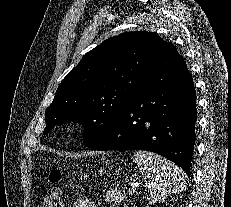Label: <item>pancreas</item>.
Returning a JSON list of instances; mask_svg holds the SVG:
<instances>
[{
    "label": "pancreas",
    "instance_id": "obj_1",
    "mask_svg": "<svg viewBox=\"0 0 231 207\" xmlns=\"http://www.w3.org/2000/svg\"><path fill=\"white\" fill-rule=\"evenodd\" d=\"M104 197L107 202L112 204L120 203L125 198L124 194L117 190L107 191Z\"/></svg>",
    "mask_w": 231,
    "mask_h": 207
}]
</instances>
